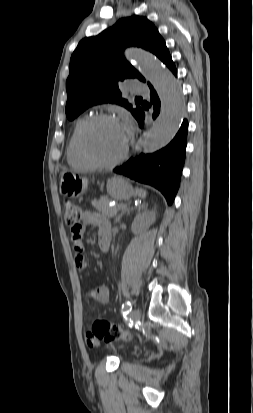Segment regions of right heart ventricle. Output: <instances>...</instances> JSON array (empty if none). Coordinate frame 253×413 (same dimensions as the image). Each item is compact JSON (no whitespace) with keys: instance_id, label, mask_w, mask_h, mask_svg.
Instances as JSON below:
<instances>
[{"instance_id":"right-heart-ventricle-1","label":"right heart ventricle","mask_w":253,"mask_h":413,"mask_svg":"<svg viewBox=\"0 0 253 413\" xmlns=\"http://www.w3.org/2000/svg\"><path fill=\"white\" fill-rule=\"evenodd\" d=\"M87 119L88 118L86 116L78 119V121L76 122L73 128V131L71 133V136L69 138V141L66 147V157H67L68 163L72 167L79 168V169L92 168V166L83 159L78 149V133H79L81 126Z\"/></svg>"}]
</instances>
